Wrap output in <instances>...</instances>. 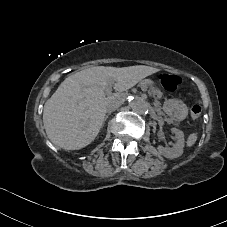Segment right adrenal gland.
<instances>
[{"label": "right adrenal gland", "instance_id": "right-adrenal-gland-1", "mask_svg": "<svg viewBox=\"0 0 227 227\" xmlns=\"http://www.w3.org/2000/svg\"><path fill=\"white\" fill-rule=\"evenodd\" d=\"M107 118H108V115H106V116H105V118H104V122L107 120Z\"/></svg>", "mask_w": 227, "mask_h": 227}]
</instances>
